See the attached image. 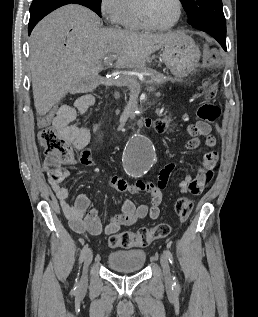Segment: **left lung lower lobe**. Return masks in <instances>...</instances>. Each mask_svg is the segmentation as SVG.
I'll return each mask as SVG.
<instances>
[{"label":"left lung lower lobe","instance_id":"obj_1","mask_svg":"<svg viewBox=\"0 0 258 317\" xmlns=\"http://www.w3.org/2000/svg\"><path fill=\"white\" fill-rule=\"evenodd\" d=\"M199 30L204 31L211 36H213L220 45L226 50V28L225 29H219V28H200Z\"/></svg>","mask_w":258,"mask_h":317}]
</instances>
